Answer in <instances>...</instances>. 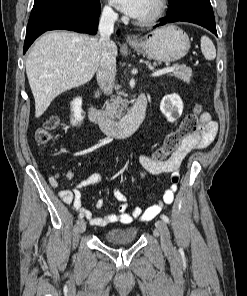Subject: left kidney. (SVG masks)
<instances>
[{"instance_id":"obj_1","label":"left kidney","mask_w":247,"mask_h":296,"mask_svg":"<svg viewBox=\"0 0 247 296\" xmlns=\"http://www.w3.org/2000/svg\"><path fill=\"white\" fill-rule=\"evenodd\" d=\"M160 110L169 122H175L183 112V102L179 95L172 94L163 97Z\"/></svg>"}]
</instances>
